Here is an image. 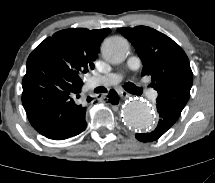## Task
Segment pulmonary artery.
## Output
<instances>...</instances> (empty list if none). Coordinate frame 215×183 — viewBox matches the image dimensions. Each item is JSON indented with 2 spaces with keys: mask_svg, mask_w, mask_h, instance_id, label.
Listing matches in <instances>:
<instances>
[{
  "mask_svg": "<svg viewBox=\"0 0 215 183\" xmlns=\"http://www.w3.org/2000/svg\"><path fill=\"white\" fill-rule=\"evenodd\" d=\"M140 65V59L137 57H132L127 61V69L132 70L138 68ZM123 79V74L118 73V74H112L109 77L105 78L103 80L104 85H112V84H117ZM151 98L155 99L157 97V92L152 91L150 93Z\"/></svg>",
  "mask_w": 215,
  "mask_h": 183,
  "instance_id": "obj_1",
  "label": "pulmonary artery"
}]
</instances>
